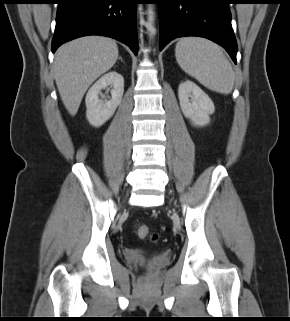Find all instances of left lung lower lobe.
<instances>
[{"label":"left lung lower lobe","instance_id":"1","mask_svg":"<svg viewBox=\"0 0 290 321\" xmlns=\"http://www.w3.org/2000/svg\"><path fill=\"white\" fill-rule=\"evenodd\" d=\"M160 51L173 39L199 36L221 45L236 63L237 42L231 26V0H157Z\"/></svg>","mask_w":290,"mask_h":321}]
</instances>
